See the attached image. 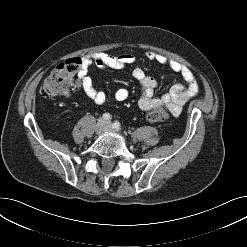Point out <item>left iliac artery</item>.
Wrapping results in <instances>:
<instances>
[{"mask_svg":"<svg viewBox=\"0 0 247 247\" xmlns=\"http://www.w3.org/2000/svg\"><path fill=\"white\" fill-rule=\"evenodd\" d=\"M113 128H115L117 131H119L121 128H120V123L118 121H115L113 123Z\"/></svg>","mask_w":247,"mask_h":247,"instance_id":"left-iliac-artery-1","label":"left iliac artery"}]
</instances>
